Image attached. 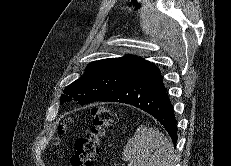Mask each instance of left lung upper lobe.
Wrapping results in <instances>:
<instances>
[{
	"label": "left lung upper lobe",
	"instance_id": "obj_1",
	"mask_svg": "<svg viewBox=\"0 0 231 166\" xmlns=\"http://www.w3.org/2000/svg\"><path fill=\"white\" fill-rule=\"evenodd\" d=\"M150 61L137 56L109 58L90 63L79 79L68 85L61 95L62 101L88 104L96 101L117 86L138 74Z\"/></svg>",
	"mask_w": 231,
	"mask_h": 166
}]
</instances>
